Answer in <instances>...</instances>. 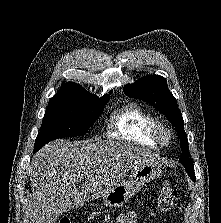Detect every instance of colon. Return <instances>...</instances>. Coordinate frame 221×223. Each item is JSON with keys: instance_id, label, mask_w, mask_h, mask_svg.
I'll list each match as a JSON object with an SVG mask.
<instances>
[{"instance_id": "5ec220e1", "label": "colon", "mask_w": 221, "mask_h": 223, "mask_svg": "<svg viewBox=\"0 0 221 223\" xmlns=\"http://www.w3.org/2000/svg\"><path fill=\"white\" fill-rule=\"evenodd\" d=\"M177 203V191L169 184L162 186L156 201V209L159 213H166L175 208ZM70 219L63 217L57 223H70Z\"/></svg>"}]
</instances>
